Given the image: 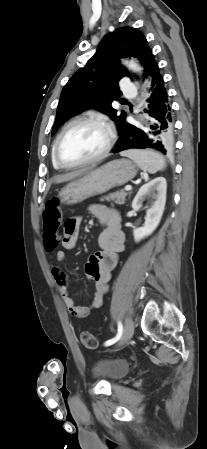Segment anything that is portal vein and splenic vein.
Returning a JSON list of instances; mask_svg holds the SVG:
<instances>
[{
	"mask_svg": "<svg viewBox=\"0 0 207 449\" xmlns=\"http://www.w3.org/2000/svg\"><path fill=\"white\" fill-rule=\"evenodd\" d=\"M132 189V186L131 185H127L126 187H125V190L126 191H130Z\"/></svg>",
	"mask_w": 207,
	"mask_h": 449,
	"instance_id": "1",
	"label": "portal vein and splenic vein"
}]
</instances>
